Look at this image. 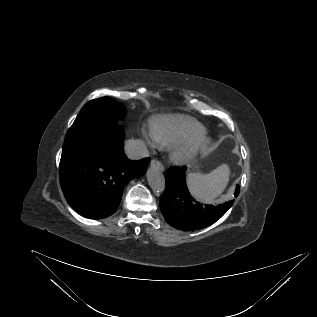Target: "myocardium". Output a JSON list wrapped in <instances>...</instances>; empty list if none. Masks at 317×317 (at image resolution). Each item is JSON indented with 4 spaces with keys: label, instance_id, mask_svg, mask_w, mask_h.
Wrapping results in <instances>:
<instances>
[{
    "label": "myocardium",
    "instance_id": "myocardium-1",
    "mask_svg": "<svg viewBox=\"0 0 317 317\" xmlns=\"http://www.w3.org/2000/svg\"><path fill=\"white\" fill-rule=\"evenodd\" d=\"M209 144L205 137L188 139L173 147L170 159L175 165H185L194 160Z\"/></svg>",
    "mask_w": 317,
    "mask_h": 317
}]
</instances>
